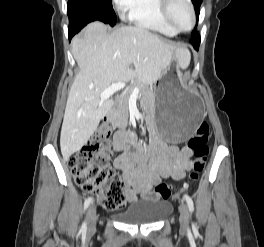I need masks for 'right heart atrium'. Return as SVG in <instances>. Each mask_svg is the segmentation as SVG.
<instances>
[{"mask_svg": "<svg viewBox=\"0 0 264 247\" xmlns=\"http://www.w3.org/2000/svg\"><path fill=\"white\" fill-rule=\"evenodd\" d=\"M121 16H124L130 10L134 0H113Z\"/></svg>", "mask_w": 264, "mask_h": 247, "instance_id": "right-heart-atrium-1", "label": "right heart atrium"}]
</instances>
